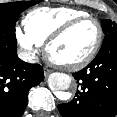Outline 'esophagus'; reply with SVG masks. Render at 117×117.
Here are the masks:
<instances>
[{
	"label": "esophagus",
	"mask_w": 117,
	"mask_h": 117,
	"mask_svg": "<svg viewBox=\"0 0 117 117\" xmlns=\"http://www.w3.org/2000/svg\"><path fill=\"white\" fill-rule=\"evenodd\" d=\"M50 73H51L50 69H48V68L44 69V75H45V77H47Z\"/></svg>",
	"instance_id": "1"
}]
</instances>
